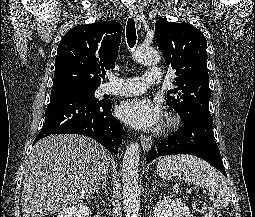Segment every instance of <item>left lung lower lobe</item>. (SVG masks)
Returning a JSON list of instances; mask_svg holds the SVG:
<instances>
[{"instance_id": "left-lung-lower-lobe-1", "label": "left lung lower lobe", "mask_w": 255, "mask_h": 217, "mask_svg": "<svg viewBox=\"0 0 255 217\" xmlns=\"http://www.w3.org/2000/svg\"><path fill=\"white\" fill-rule=\"evenodd\" d=\"M182 123L183 127L178 129L168 140L152 147L147 161L164 155L190 154L207 161L227 177L219 148L212 133V117L199 114Z\"/></svg>"}]
</instances>
